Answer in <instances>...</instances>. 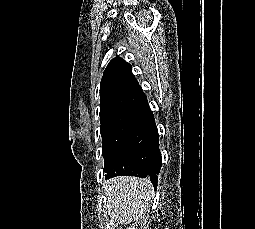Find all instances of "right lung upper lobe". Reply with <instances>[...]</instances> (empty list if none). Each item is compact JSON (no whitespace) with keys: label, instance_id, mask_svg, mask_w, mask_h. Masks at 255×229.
<instances>
[{"label":"right lung upper lobe","instance_id":"right-lung-upper-lobe-1","mask_svg":"<svg viewBox=\"0 0 255 229\" xmlns=\"http://www.w3.org/2000/svg\"><path fill=\"white\" fill-rule=\"evenodd\" d=\"M131 69V65L120 57L113 58L107 65L100 84L101 126L112 118L147 103Z\"/></svg>","mask_w":255,"mask_h":229}]
</instances>
